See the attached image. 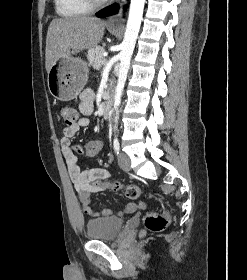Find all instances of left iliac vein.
I'll use <instances>...</instances> for the list:
<instances>
[{"mask_svg":"<svg viewBox=\"0 0 247 280\" xmlns=\"http://www.w3.org/2000/svg\"><path fill=\"white\" fill-rule=\"evenodd\" d=\"M118 163L122 170H130V158L125 153H120L118 155Z\"/></svg>","mask_w":247,"mask_h":280,"instance_id":"obj_1","label":"left iliac vein"}]
</instances>
